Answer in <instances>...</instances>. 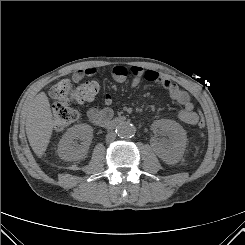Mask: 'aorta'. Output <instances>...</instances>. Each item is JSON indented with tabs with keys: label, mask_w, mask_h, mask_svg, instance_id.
Returning <instances> with one entry per match:
<instances>
[{
	"label": "aorta",
	"mask_w": 245,
	"mask_h": 245,
	"mask_svg": "<svg viewBox=\"0 0 245 245\" xmlns=\"http://www.w3.org/2000/svg\"><path fill=\"white\" fill-rule=\"evenodd\" d=\"M135 131V127L128 122H122L116 128L117 135L122 138H129L133 136L135 134Z\"/></svg>",
	"instance_id": "aorta-1"
}]
</instances>
